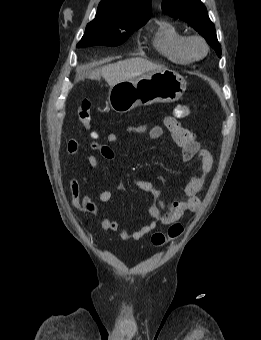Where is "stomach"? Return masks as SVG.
Listing matches in <instances>:
<instances>
[{"instance_id": "stomach-1", "label": "stomach", "mask_w": 261, "mask_h": 340, "mask_svg": "<svg viewBox=\"0 0 261 340\" xmlns=\"http://www.w3.org/2000/svg\"><path fill=\"white\" fill-rule=\"evenodd\" d=\"M185 90V79L175 71L165 69L144 73L110 87L108 101L114 111L126 113L137 106L174 102Z\"/></svg>"}]
</instances>
